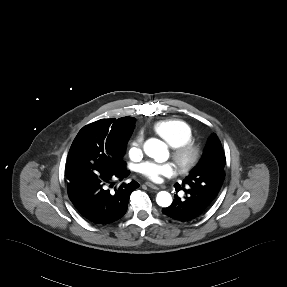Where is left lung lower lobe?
Instances as JSON below:
<instances>
[{"label":"left lung lower lobe","instance_id":"0a47b994","mask_svg":"<svg viewBox=\"0 0 287 287\" xmlns=\"http://www.w3.org/2000/svg\"><path fill=\"white\" fill-rule=\"evenodd\" d=\"M175 188L179 191L180 185L176 183ZM181 189L185 191L186 196L181 199L176 195L172 204L169 207L162 209L163 214L179 221H188L203 214L212 204L211 201L195 194L190 189H185L183 187Z\"/></svg>","mask_w":287,"mask_h":287}]
</instances>
